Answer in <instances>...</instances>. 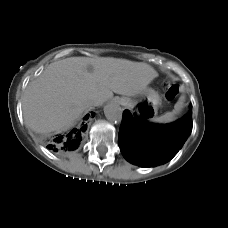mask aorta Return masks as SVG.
Here are the masks:
<instances>
[{
  "mask_svg": "<svg viewBox=\"0 0 228 228\" xmlns=\"http://www.w3.org/2000/svg\"><path fill=\"white\" fill-rule=\"evenodd\" d=\"M104 114L111 122H121L122 120V109L119 104L115 102L108 103L104 107Z\"/></svg>",
  "mask_w": 228,
  "mask_h": 228,
  "instance_id": "1",
  "label": "aorta"
}]
</instances>
